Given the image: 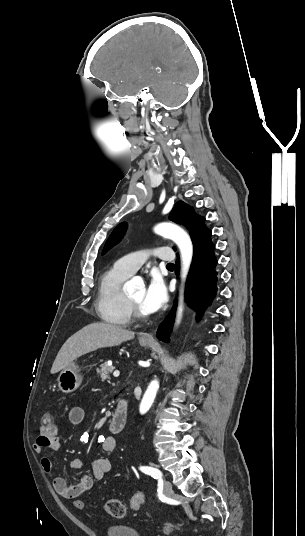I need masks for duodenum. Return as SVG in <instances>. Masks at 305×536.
<instances>
[{
    "mask_svg": "<svg viewBox=\"0 0 305 536\" xmlns=\"http://www.w3.org/2000/svg\"><path fill=\"white\" fill-rule=\"evenodd\" d=\"M127 421L128 406L124 400L120 399L110 420L109 428L113 432H120L125 428Z\"/></svg>",
    "mask_w": 305,
    "mask_h": 536,
    "instance_id": "duodenum-1",
    "label": "duodenum"
}]
</instances>
